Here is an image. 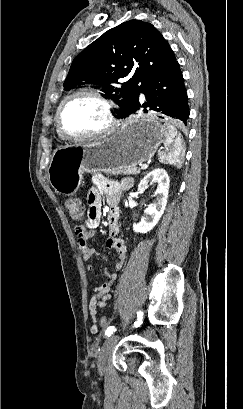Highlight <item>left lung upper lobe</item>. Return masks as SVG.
Returning a JSON list of instances; mask_svg holds the SVG:
<instances>
[{
	"label": "left lung upper lobe",
	"mask_w": 243,
	"mask_h": 409,
	"mask_svg": "<svg viewBox=\"0 0 243 409\" xmlns=\"http://www.w3.org/2000/svg\"><path fill=\"white\" fill-rule=\"evenodd\" d=\"M176 57L161 33L150 23L130 20L114 27L86 47L73 60L63 84L99 85L120 107L124 118L150 79L170 67ZM131 78L117 86L118 79Z\"/></svg>",
	"instance_id": "1"
}]
</instances>
